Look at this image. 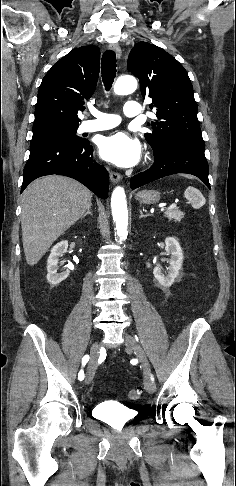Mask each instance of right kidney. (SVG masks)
I'll list each match as a JSON object with an SVG mask.
<instances>
[{"instance_id":"right-kidney-1","label":"right kidney","mask_w":236,"mask_h":486,"mask_svg":"<svg viewBox=\"0 0 236 486\" xmlns=\"http://www.w3.org/2000/svg\"><path fill=\"white\" fill-rule=\"evenodd\" d=\"M68 248V241H61L57 243L52 249L51 253L47 260V281L52 286H57L60 282L65 280L68 275L69 271H64L62 273H57L58 269V258L66 253Z\"/></svg>"}]
</instances>
